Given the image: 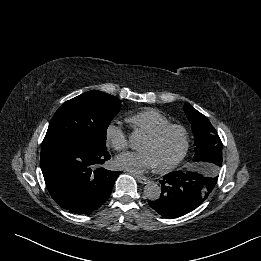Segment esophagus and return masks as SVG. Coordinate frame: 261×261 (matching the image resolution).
<instances>
[{"instance_id": "1", "label": "esophagus", "mask_w": 261, "mask_h": 261, "mask_svg": "<svg viewBox=\"0 0 261 261\" xmlns=\"http://www.w3.org/2000/svg\"><path fill=\"white\" fill-rule=\"evenodd\" d=\"M136 179L142 184H148L150 180L143 176H136Z\"/></svg>"}]
</instances>
